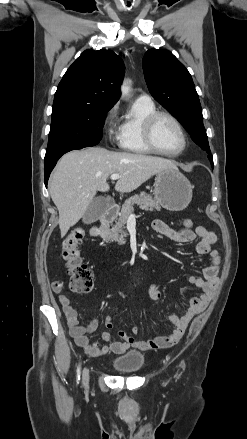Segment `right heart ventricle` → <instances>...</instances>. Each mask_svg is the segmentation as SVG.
<instances>
[{
	"instance_id": "obj_1",
	"label": "right heart ventricle",
	"mask_w": 247,
	"mask_h": 439,
	"mask_svg": "<svg viewBox=\"0 0 247 439\" xmlns=\"http://www.w3.org/2000/svg\"><path fill=\"white\" fill-rule=\"evenodd\" d=\"M156 111L152 101L135 100L121 123L119 146L133 153H150L143 140V124L145 119Z\"/></svg>"
}]
</instances>
